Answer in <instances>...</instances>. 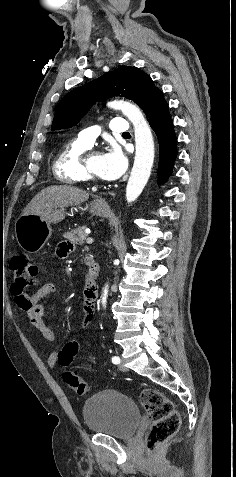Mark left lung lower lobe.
<instances>
[{
  "label": "left lung lower lobe",
  "mask_w": 236,
  "mask_h": 477,
  "mask_svg": "<svg viewBox=\"0 0 236 477\" xmlns=\"http://www.w3.org/2000/svg\"><path fill=\"white\" fill-rule=\"evenodd\" d=\"M150 126L157 134L159 143L158 183H164L172 172L176 158L177 138L173 122L169 116L168 105L160 90L157 91L151 105L145 112Z\"/></svg>",
  "instance_id": "obj_1"
}]
</instances>
